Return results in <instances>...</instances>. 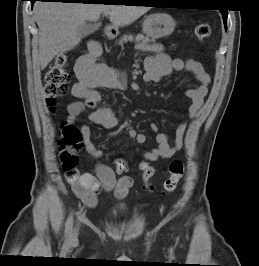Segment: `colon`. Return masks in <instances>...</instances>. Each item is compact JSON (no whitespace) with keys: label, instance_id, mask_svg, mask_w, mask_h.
<instances>
[{"label":"colon","instance_id":"colon-1","mask_svg":"<svg viewBox=\"0 0 259 266\" xmlns=\"http://www.w3.org/2000/svg\"><path fill=\"white\" fill-rule=\"evenodd\" d=\"M195 35L200 41H204L211 35V27L208 23H200L195 28ZM67 57L63 54L59 55L54 63L49 67L44 76V91L47 104L54 108L57 100L64 96L69 89L70 74L67 69ZM83 146V137L80 130L69 123L62 126V138L60 141V159L62 167L66 173L76 170L78 164L77 152ZM144 188L148 191L152 190L151 179L155 174V170L149 164H142L140 167ZM185 166L180 160L172 161L169 165V176L164 181V193L173 192L179 181L184 175ZM127 171V166L123 162L116 165V172L120 175Z\"/></svg>","mask_w":259,"mask_h":266}]
</instances>
